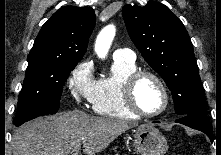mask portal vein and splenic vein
I'll return each mask as SVG.
<instances>
[{
    "instance_id": "1",
    "label": "portal vein and splenic vein",
    "mask_w": 221,
    "mask_h": 155,
    "mask_svg": "<svg viewBox=\"0 0 221 155\" xmlns=\"http://www.w3.org/2000/svg\"><path fill=\"white\" fill-rule=\"evenodd\" d=\"M79 149H80V146L76 147V148L73 150V155H76L77 152L79 151Z\"/></svg>"
}]
</instances>
